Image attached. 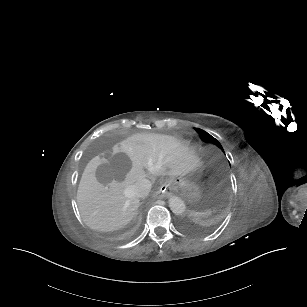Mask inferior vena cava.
I'll return each mask as SVG.
<instances>
[{"mask_svg":"<svg viewBox=\"0 0 307 307\" xmlns=\"http://www.w3.org/2000/svg\"><path fill=\"white\" fill-rule=\"evenodd\" d=\"M152 184L150 180L143 178L138 180L132 187L135 195L137 197H146L150 190H151Z\"/></svg>","mask_w":307,"mask_h":307,"instance_id":"1","label":"inferior vena cava"}]
</instances>
